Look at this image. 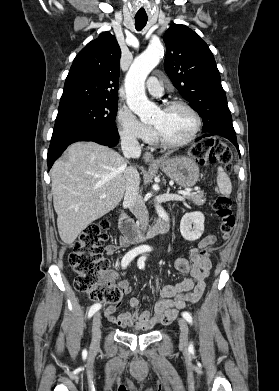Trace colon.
Returning a JSON list of instances; mask_svg holds the SVG:
<instances>
[{"instance_id":"1","label":"colon","mask_w":279,"mask_h":391,"mask_svg":"<svg viewBox=\"0 0 279 391\" xmlns=\"http://www.w3.org/2000/svg\"><path fill=\"white\" fill-rule=\"evenodd\" d=\"M191 154L202 165L220 163L228 170L231 168V152L226 144L218 139L202 140L191 148ZM213 209L220 220L222 237L228 238L236 221L231 198L219 195L213 203ZM109 227L107 220L86 227L74 244L69 263L76 275L74 284L78 291L87 294L94 302L117 305L122 299V291L108 277V262L102 255L104 245L109 240ZM209 251L210 247L204 249L202 254L209 256ZM184 298L183 294H179L173 298L172 304Z\"/></svg>"}]
</instances>
